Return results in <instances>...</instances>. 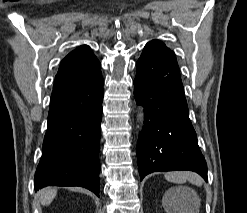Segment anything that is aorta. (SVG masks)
Here are the masks:
<instances>
[{"label":"aorta","mask_w":247,"mask_h":213,"mask_svg":"<svg viewBox=\"0 0 247 213\" xmlns=\"http://www.w3.org/2000/svg\"><path fill=\"white\" fill-rule=\"evenodd\" d=\"M138 119L139 121L142 123L144 120V112H143V108H139V112H138Z\"/></svg>","instance_id":"1"}]
</instances>
